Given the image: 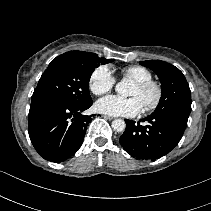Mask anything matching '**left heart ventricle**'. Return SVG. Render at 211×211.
<instances>
[{
	"label": "left heart ventricle",
	"instance_id": "1",
	"mask_svg": "<svg viewBox=\"0 0 211 211\" xmlns=\"http://www.w3.org/2000/svg\"><path fill=\"white\" fill-rule=\"evenodd\" d=\"M129 95L131 97H136L141 102L142 106L149 104L153 101L155 97V91L153 89L141 90L136 85H133L131 88Z\"/></svg>",
	"mask_w": 211,
	"mask_h": 211
}]
</instances>
